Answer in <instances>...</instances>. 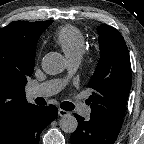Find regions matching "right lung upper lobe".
<instances>
[{"instance_id": "obj_1", "label": "right lung upper lobe", "mask_w": 144, "mask_h": 144, "mask_svg": "<svg viewBox=\"0 0 144 144\" xmlns=\"http://www.w3.org/2000/svg\"><path fill=\"white\" fill-rule=\"evenodd\" d=\"M51 23L15 21L0 30V141L32 106L24 87L34 70L37 40Z\"/></svg>"}]
</instances>
